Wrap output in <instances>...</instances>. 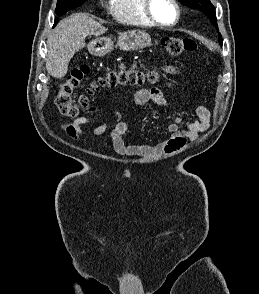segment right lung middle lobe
<instances>
[{
    "mask_svg": "<svg viewBox=\"0 0 259 294\" xmlns=\"http://www.w3.org/2000/svg\"><path fill=\"white\" fill-rule=\"evenodd\" d=\"M85 1L86 0H58L56 6V14L62 16L66 12L82 5ZM58 21L59 19L55 18V25Z\"/></svg>",
    "mask_w": 259,
    "mask_h": 294,
    "instance_id": "dd1d6c3e",
    "label": "right lung middle lobe"
}]
</instances>
